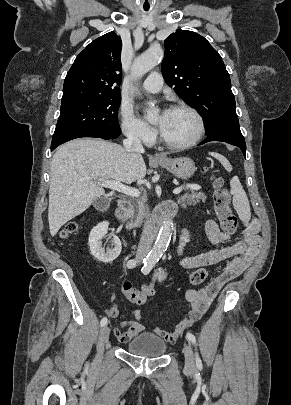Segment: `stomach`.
Here are the masks:
<instances>
[{"mask_svg":"<svg viewBox=\"0 0 291 405\" xmlns=\"http://www.w3.org/2000/svg\"><path fill=\"white\" fill-rule=\"evenodd\" d=\"M157 163L182 180L192 177L196 170L194 162L185 157L175 159L165 158Z\"/></svg>","mask_w":291,"mask_h":405,"instance_id":"obj_1","label":"stomach"}]
</instances>
